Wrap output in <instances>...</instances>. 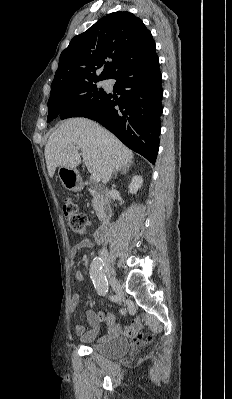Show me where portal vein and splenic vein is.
<instances>
[{"mask_svg":"<svg viewBox=\"0 0 232 399\" xmlns=\"http://www.w3.org/2000/svg\"><path fill=\"white\" fill-rule=\"evenodd\" d=\"M91 180H94V182H96V184H98V182H100L101 178H100L99 174H97V172H93V174L91 176Z\"/></svg>","mask_w":232,"mask_h":399,"instance_id":"18ae733b","label":"portal vein and splenic vein"}]
</instances>
